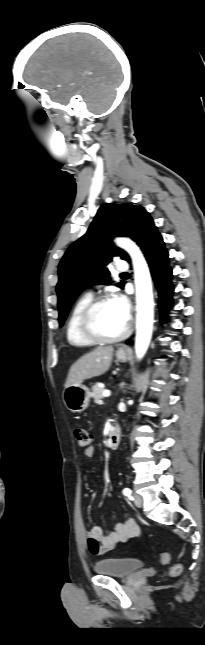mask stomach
I'll list each match as a JSON object with an SVG mask.
<instances>
[{"label":"stomach","instance_id":"obj_1","mask_svg":"<svg viewBox=\"0 0 205 645\" xmlns=\"http://www.w3.org/2000/svg\"><path fill=\"white\" fill-rule=\"evenodd\" d=\"M117 360L125 362L128 358L123 350H118L116 353ZM63 402L66 408L72 412L79 413L87 409L90 402V390L80 384L68 386L63 391Z\"/></svg>","mask_w":205,"mask_h":645}]
</instances>
